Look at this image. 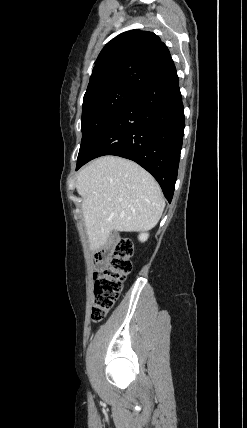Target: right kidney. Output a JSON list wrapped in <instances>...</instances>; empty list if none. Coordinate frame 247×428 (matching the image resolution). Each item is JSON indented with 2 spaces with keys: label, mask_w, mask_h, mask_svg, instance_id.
Wrapping results in <instances>:
<instances>
[{
  "label": "right kidney",
  "mask_w": 247,
  "mask_h": 428,
  "mask_svg": "<svg viewBox=\"0 0 247 428\" xmlns=\"http://www.w3.org/2000/svg\"><path fill=\"white\" fill-rule=\"evenodd\" d=\"M148 236H149L148 233H142L141 235H139V240L141 242H144L148 239Z\"/></svg>",
  "instance_id": "obj_1"
}]
</instances>
